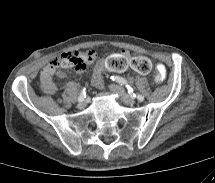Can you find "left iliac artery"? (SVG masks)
<instances>
[{
	"label": "left iliac artery",
	"mask_w": 215,
	"mask_h": 183,
	"mask_svg": "<svg viewBox=\"0 0 215 183\" xmlns=\"http://www.w3.org/2000/svg\"><path fill=\"white\" fill-rule=\"evenodd\" d=\"M111 79H112L113 81L118 82V83L121 84V85H125L126 88H127V90H128V93H129L130 95H133L134 97H137V99H138L140 102L144 101V96H142V95H140V94H137V95H136V94L134 93L133 89H132L129 85H127V82H126L125 79H123V78H121V77H119V76H111Z\"/></svg>",
	"instance_id": "1"
}]
</instances>
